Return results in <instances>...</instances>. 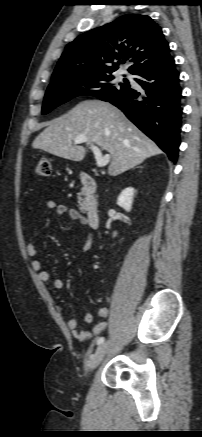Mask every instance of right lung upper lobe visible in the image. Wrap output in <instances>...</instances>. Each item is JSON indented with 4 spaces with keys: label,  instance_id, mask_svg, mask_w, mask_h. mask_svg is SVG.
Listing matches in <instances>:
<instances>
[{
    "label": "right lung upper lobe",
    "instance_id": "right-lung-upper-lobe-1",
    "mask_svg": "<svg viewBox=\"0 0 202 437\" xmlns=\"http://www.w3.org/2000/svg\"><path fill=\"white\" fill-rule=\"evenodd\" d=\"M169 45L161 28L146 15L128 14L90 30L69 43L52 75V82L82 76L112 74L131 58L136 74L167 59Z\"/></svg>",
    "mask_w": 202,
    "mask_h": 437
}]
</instances>
